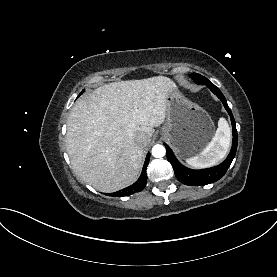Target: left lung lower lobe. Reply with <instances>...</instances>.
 <instances>
[{
  "label": "left lung lower lobe",
  "mask_w": 277,
  "mask_h": 277,
  "mask_svg": "<svg viewBox=\"0 0 277 277\" xmlns=\"http://www.w3.org/2000/svg\"><path fill=\"white\" fill-rule=\"evenodd\" d=\"M199 84L206 85L222 101L225 109L227 110L231 118L233 128V142L231 151L224 162H222L218 166L203 170H191L189 168H186L176 159L169 146L164 144L167 151V159L174 169L175 176L183 184L191 186H201L210 184L222 178L235 157L238 142L235 120L222 92L208 79H206L205 81H199Z\"/></svg>",
  "instance_id": "0a47b994"
}]
</instances>
